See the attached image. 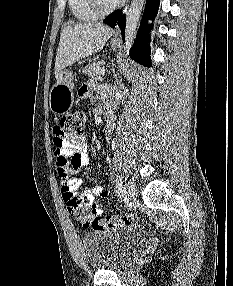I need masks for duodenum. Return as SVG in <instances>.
Here are the masks:
<instances>
[{
	"mask_svg": "<svg viewBox=\"0 0 233 286\" xmlns=\"http://www.w3.org/2000/svg\"><path fill=\"white\" fill-rule=\"evenodd\" d=\"M104 120L107 125H109L113 120V107L111 103H108L105 107Z\"/></svg>",
	"mask_w": 233,
	"mask_h": 286,
	"instance_id": "duodenum-1",
	"label": "duodenum"
}]
</instances>
